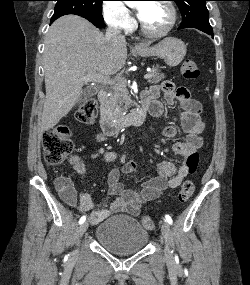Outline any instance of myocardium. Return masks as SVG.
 <instances>
[{
	"instance_id": "myocardium-1",
	"label": "myocardium",
	"mask_w": 250,
	"mask_h": 285,
	"mask_svg": "<svg viewBox=\"0 0 250 285\" xmlns=\"http://www.w3.org/2000/svg\"><path fill=\"white\" fill-rule=\"evenodd\" d=\"M159 3L164 4L170 12V21H169L168 25L162 31H160V32L149 31L144 26V24L142 23L141 20L139 22V27H140L141 33L144 36L151 38V39H160V38L167 36L177 23V10H176L175 5L169 0H162Z\"/></svg>"
}]
</instances>
